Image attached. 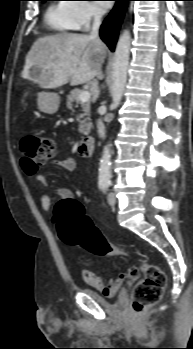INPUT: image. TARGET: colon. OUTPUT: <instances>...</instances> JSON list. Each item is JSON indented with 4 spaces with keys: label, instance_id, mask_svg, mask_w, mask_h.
<instances>
[{
    "label": "colon",
    "instance_id": "obj_1",
    "mask_svg": "<svg viewBox=\"0 0 193 349\" xmlns=\"http://www.w3.org/2000/svg\"><path fill=\"white\" fill-rule=\"evenodd\" d=\"M21 151L25 163L32 169L53 158L56 154V143L47 137L27 134L21 139ZM54 222L61 239L69 245H77L94 255L127 256L130 252L107 240L85 215L83 206L75 200H61L55 206ZM143 279L136 285L132 298V308L142 313L156 304L163 295L166 275L157 265L141 261Z\"/></svg>",
    "mask_w": 193,
    "mask_h": 349
}]
</instances>
